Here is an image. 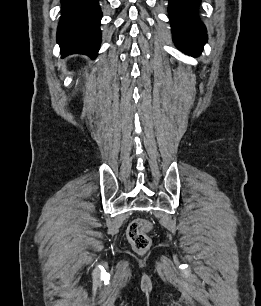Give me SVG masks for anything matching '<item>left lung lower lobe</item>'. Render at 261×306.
<instances>
[{
    "instance_id": "0a47b994",
    "label": "left lung lower lobe",
    "mask_w": 261,
    "mask_h": 306,
    "mask_svg": "<svg viewBox=\"0 0 261 306\" xmlns=\"http://www.w3.org/2000/svg\"><path fill=\"white\" fill-rule=\"evenodd\" d=\"M201 0H169V14L176 46L184 53L199 55L207 41L205 26L199 21Z\"/></svg>"
}]
</instances>
